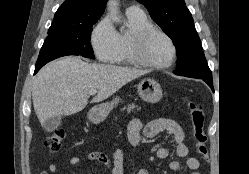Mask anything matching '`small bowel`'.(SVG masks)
I'll return each instance as SVG.
<instances>
[{
  "label": "small bowel",
  "mask_w": 249,
  "mask_h": 174,
  "mask_svg": "<svg viewBox=\"0 0 249 174\" xmlns=\"http://www.w3.org/2000/svg\"><path fill=\"white\" fill-rule=\"evenodd\" d=\"M168 132L173 139L175 145V152L178 157H187L188 148L185 144V135L181 126L174 120L169 118H158L146 125H143L139 119H133L128 126V140L132 146H139L146 138H152L161 132ZM157 158L165 159L170 155V152L166 148H158L155 152ZM88 159L91 161H97L105 165L111 172V174H124V153L121 149H117L112 158L101 152H91L88 154ZM81 162L80 156H73L69 160L70 165H77ZM199 160L195 157H188L185 164L177 160H173L169 164V168L172 171H182L188 169L192 171L191 174H199L196 170L199 168ZM58 168L55 164L49 166V172H42L41 174H55ZM136 174H150V171L146 168L140 169Z\"/></svg>",
  "instance_id": "small-bowel-1"
}]
</instances>
